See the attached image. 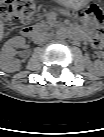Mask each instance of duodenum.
<instances>
[{"label": "duodenum", "instance_id": "duodenum-1", "mask_svg": "<svg viewBox=\"0 0 104 137\" xmlns=\"http://www.w3.org/2000/svg\"><path fill=\"white\" fill-rule=\"evenodd\" d=\"M36 32H37V28H35L33 26H25L21 29V33L26 37L34 36L36 34ZM75 37H76V39H85L86 35H85L84 31L82 29H80L75 33Z\"/></svg>", "mask_w": 104, "mask_h": 137}]
</instances>
